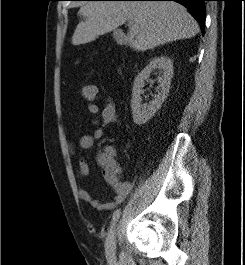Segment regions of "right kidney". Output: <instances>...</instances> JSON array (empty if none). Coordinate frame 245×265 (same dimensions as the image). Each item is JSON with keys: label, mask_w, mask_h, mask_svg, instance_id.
Here are the masks:
<instances>
[{"label": "right kidney", "mask_w": 245, "mask_h": 265, "mask_svg": "<svg viewBox=\"0 0 245 265\" xmlns=\"http://www.w3.org/2000/svg\"><path fill=\"white\" fill-rule=\"evenodd\" d=\"M155 69L162 71V76L158 78V94L148 104H142L141 95L144 93L145 81H150V74ZM173 76V63L165 56L154 58L135 78L132 89L131 109L133 121L137 125L145 124L161 108L162 103L168 95L171 78Z\"/></svg>", "instance_id": "1"}]
</instances>
